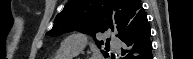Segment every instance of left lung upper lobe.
Instances as JSON below:
<instances>
[{"instance_id": "left-lung-upper-lobe-1", "label": "left lung upper lobe", "mask_w": 193, "mask_h": 59, "mask_svg": "<svg viewBox=\"0 0 193 59\" xmlns=\"http://www.w3.org/2000/svg\"><path fill=\"white\" fill-rule=\"evenodd\" d=\"M142 11L139 0H69L46 34L58 36L78 30L95 39L97 32L110 28L121 38L134 17ZM95 41L99 47L103 44Z\"/></svg>"}]
</instances>
